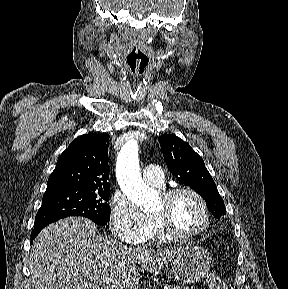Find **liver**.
Wrapping results in <instances>:
<instances>
[{
	"mask_svg": "<svg viewBox=\"0 0 288 289\" xmlns=\"http://www.w3.org/2000/svg\"><path fill=\"white\" fill-rule=\"evenodd\" d=\"M181 248H132L97 235L95 224L68 217L44 228L32 244L33 289H134L138 266L154 272Z\"/></svg>",
	"mask_w": 288,
	"mask_h": 289,
	"instance_id": "liver-1",
	"label": "liver"
}]
</instances>
